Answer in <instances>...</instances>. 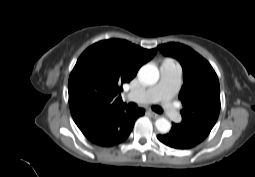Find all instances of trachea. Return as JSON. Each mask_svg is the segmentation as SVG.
Segmentation results:
<instances>
[{
	"label": "trachea",
	"instance_id": "1",
	"mask_svg": "<svg viewBox=\"0 0 255 177\" xmlns=\"http://www.w3.org/2000/svg\"><path fill=\"white\" fill-rule=\"evenodd\" d=\"M128 107H129L130 109H135V108L137 107V105H136L135 103H129V104H128ZM152 110H154L156 113H163L162 108L159 107V106H153V107H152Z\"/></svg>",
	"mask_w": 255,
	"mask_h": 177
}]
</instances>
